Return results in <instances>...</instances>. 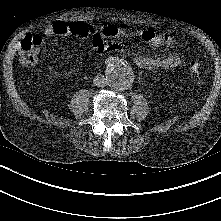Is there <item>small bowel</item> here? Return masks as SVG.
Here are the masks:
<instances>
[{"label":"small bowel","mask_w":221,"mask_h":221,"mask_svg":"<svg viewBox=\"0 0 221 221\" xmlns=\"http://www.w3.org/2000/svg\"><path fill=\"white\" fill-rule=\"evenodd\" d=\"M131 32L126 24L106 25L100 29H94L86 24L66 23L62 21L46 27L42 36L51 38L53 36H74L82 39L90 38L94 50L102 55L107 52L125 53L131 57L134 64L141 69L170 70L177 67L182 60V54L174 51L167 56H148L139 52L127 49L122 43L112 39L125 36ZM137 37L151 46L172 47L173 40L168 33L157 32L153 29L140 30L136 32ZM42 42V37L37 35Z\"/></svg>","instance_id":"small-bowel-1"}]
</instances>
